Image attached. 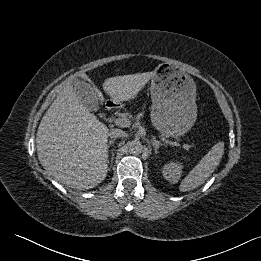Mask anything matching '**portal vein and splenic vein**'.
<instances>
[{"label":"portal vein and splenic vein","instance_id":"obj_1","mask_svg":"<svg viewBox=\"0 0 261 261\" xmlns=\"http://www.w3.org/2000/svg\"><path fill=\"white\" fill-rule=\"evenodd\" d=\"M114 123L120 127H128L131 125V121L128 118H117ZM178 146H181L184 150L189 151L190 146L185 143H177Z\"/></svg>","mask_w":261,"mask_h":261}]
</instances>
